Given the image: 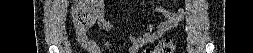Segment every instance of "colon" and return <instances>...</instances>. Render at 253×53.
<instances>
[{
  "label": "colon",
  "instance_id": "obj_1",
  "mask_svg": "<svg viewBox=\"0 0 253 53\" xmlns=\"http://www.w3.org/2000/svg\"><path fill=\"white\" fill-rule=\"evenodd\" d=\"M91 0L76 1L73 8V22L78 27L90 24L93 16V8L90 6ZM175 45L170 39L161 40L154 50L146 49L144 53H174Z\"/></svg>",
  "mask_w": 253,
  "mask_h": 53
}]
</instances>
